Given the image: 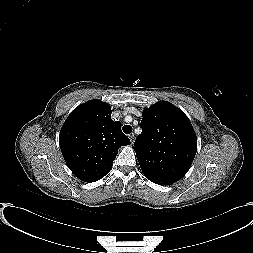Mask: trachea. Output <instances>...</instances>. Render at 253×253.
Wrapping results in <instances>:
<instances>
[{"mask_svg": "<svg viewBox=\"0 0 253 253\" xmlns=\"http://www.w3.org/2000/svg\"><path fill=\"white\" fill-rule=\"evenodd\" d=\"M122 130L124 133L130 134L132 132V127L130 125H124Z\"/></svg>", "mask_w": 253, "mask_h": 253, "instance_id": "1", "label": "trachea"}]
</instances>
